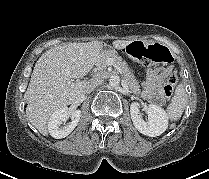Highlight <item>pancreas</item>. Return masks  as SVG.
Returning a JSON list of instances; mask_svg holds the SVG:
<instances>
[{
	"label": "pancreas",
	"instance_id": "1",
	"mask_svg": "<svg viewBox=\"0 0 209 179\" xmlns=\"http://www.w3.org/2000/svg\"><path fill=\"white\" fill-rule=\"evenodd\" d=\"M103 56L99 59L96 64V68L94 71L95 78H105L107 75L106 67V59L111 58L113 62L119 67L120 73L123 79L126 81L130 91L135 95L140 94V86L138 81L136 80L134 74L129 70L127 64L123 59L118 56V54L114 51H104Z\"/></svg>",
	"mask_w": 209,
	"mask_h": 179
}]
</instances>
